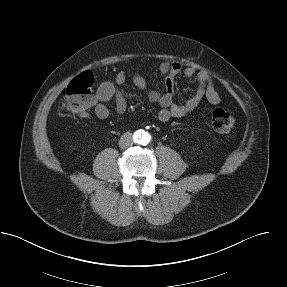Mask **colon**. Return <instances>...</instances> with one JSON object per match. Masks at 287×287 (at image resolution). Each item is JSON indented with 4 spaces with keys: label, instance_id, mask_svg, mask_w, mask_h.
<instances>
[{
    "label": "colon",
    "instance_id": "obj_1",
    "mask_svg": "<svg viewBox=\"0 0 287 287\" xmlns=\"http://www.w3.org/2000/svg\"><path fill=\"white\" fill-rule=\"evenodd\" d=\"M94 78L90 72L76 76L65 87L62 96V107L65 111L81 115L95 103ZM212 127L218 132H229L237 124V119L222 108L209 109Z\"/></svg>",
    "mask_w": 287,
    "mask_h": 287
}]
</instances>
